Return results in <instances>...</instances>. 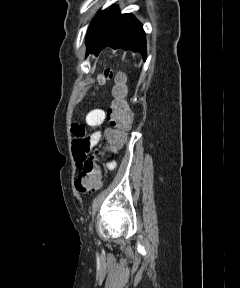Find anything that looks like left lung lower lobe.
Masks as SVG:
<instances>
[{"label":"left lung lower lobe","mask_w":240,"mask_h":288,"mask_svg":"<svg viewBox=\"0 0 240 288\" xmlns=\"http://www.w3.org/2000/svg\"><path fill=\"white\" fill-rule=\"evenodd\" d=\"M87 54L99 52L106 46L139 52L146 60V38L142 25L131 14H120L117 7L104 13L86 41Z\"/></svg>","instance_id":"left-lung-lower-lobe-1"}]
</instances>
